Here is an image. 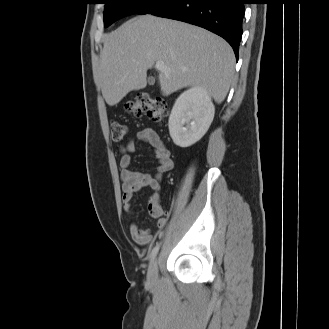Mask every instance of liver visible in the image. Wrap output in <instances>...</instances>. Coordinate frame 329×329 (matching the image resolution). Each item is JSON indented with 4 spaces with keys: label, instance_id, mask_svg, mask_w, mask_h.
Wrapping results in <instances>:
<instances>
[{
    "label": "liver",
    "instance_id": "liver-1",
    "mask_svg": "<svg viewBox=\"0 0 329 329\" xmlns=\"http://www.w3.org/2000/svg\"><path fill=\"white\" fill-rule=\"evenodd\" d=\"M157 61L170 69L158 75L164 95L187 87L207 90L221 103L234 75L235 56L221 37L184 22L143 15L109 33L101 53L100 84L109 106L146 86Z\"/></svg>",
    "mask_w": 329,
    "mask_h": 329
}]
</instances>
